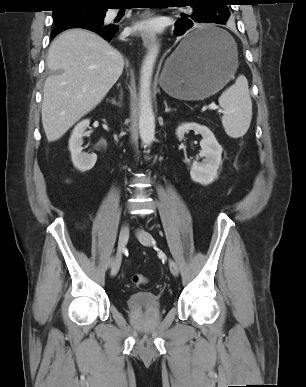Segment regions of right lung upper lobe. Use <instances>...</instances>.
<instances>
[{
  "instance_id": "obj_1",
  "label": "right lung upper lobe",
  "mask_w": 306,
  "mask_h": 387,
  "mask_svg": "<svg viewBox=\"0 0 306 387\" xmlns=\"http://www.w3.org/2000/svg\"><path fill=\"white\" fill-rule=\"evenodd\" d=\"M57 1H59L58 3L59 9L72 6V5H80V6L100 7L107 10V6L111 5L112 0H57Z\"/></svg>"
}]
</instances>
